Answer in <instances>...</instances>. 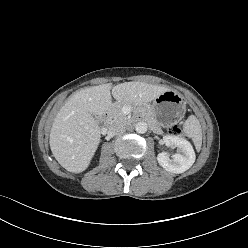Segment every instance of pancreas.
<instances>
[{"label": "pancreas", "instance_id": "1", "mask_svg": "<svg viewBox=\"0 0 248 248\" xmlns=\"http://www.w3.org/2000/svg\"><path fill=\"white\" fill-rule=\"evenodd\" d=\"M123 106H130V103H116L114 104L113 108L109 112V116L113 121L126 123L128 118L127 116L122 112ZM140 115L143 119L149 121L150 123H153V115L150 111V108L147 106H143L139 108ZM154 132H156V129H154Z\"/></svg>", "mask_w": 248, "mask_h": 248}]
</instances>
